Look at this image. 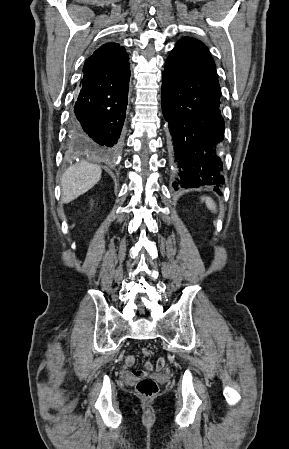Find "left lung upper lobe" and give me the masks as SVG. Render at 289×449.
Instances as JSON below:
<instances>
[{"label": "left lung upper lobe", "mask_w": 289, "mask_h": 449, "mask_svg": "<svg viewBox=\"0 0 289 449\" xmlns=\"http://www.w3.org/2000/svg\"><path fill=\"white\" fill-rule=\"evenodd\" d=\"M175 48L200 54L214 63L206 45L197 39L184 37L177 42Z\"/></svg>", "instance_id": "obj_1"}]
</instances>
